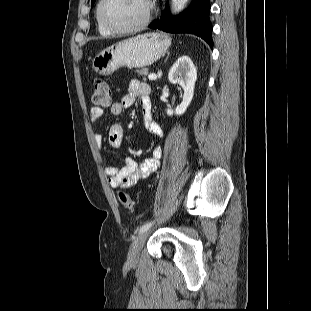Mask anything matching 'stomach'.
<instances>
[{"label":"stomach","mask_w":311,"mask_h":311,"mask_svg":"<svg viewBox=\"0 0 311 311\" xmlns=\"http://www.w3.org/2000/svg\"><path fill=\"white\" fill-rule=\"evenodd\" d=\"M170 45L171 38L164 33L137 35L99 52L93 59L92 66L100 75H110L121 67H146L160 59Z\"/></svg>","instance_id":"obj_1"}]
</instances>
